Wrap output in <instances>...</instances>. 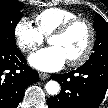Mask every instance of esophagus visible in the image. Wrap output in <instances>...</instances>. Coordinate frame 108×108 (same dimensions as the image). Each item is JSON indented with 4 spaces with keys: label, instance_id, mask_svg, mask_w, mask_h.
<instances>
[{
    "label": "esophagus",
    "instance_id": "esophagus-1",
    "mask_svg": "<svg viewBox=\"0 0 108 108\" xmlns=\"http://www.w3.org/2000/svg\"><path fill=\"white\" fill-rule=\"evenodd\" d=\"M39 76L41 80H46L49 78V74L43 72L39 73Z\"/></svg>",
    "mask_w": 108,
    "mask_h": 108
}]
</instances>
